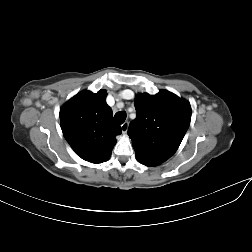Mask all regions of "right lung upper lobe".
<instances>
[{
	"mask_svg": "<svg viewBox=\"0 0 252 252\" xmlns=\"http://www.w3.org/2000/svg\"><path fill=\"white\" fill-rule=\"evenodd\" d=\"M63 135L82 159L91 163L107 161L121 128L112 122L106 90L82 91L60 109Z\"/></svg>",
	"mask_w": 252,
	"mask_h": 252,
	"instance_id": "1",
	"label": "right lung upper lobe"
}]
</instances>
